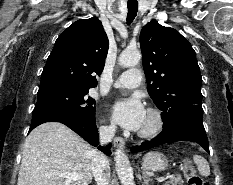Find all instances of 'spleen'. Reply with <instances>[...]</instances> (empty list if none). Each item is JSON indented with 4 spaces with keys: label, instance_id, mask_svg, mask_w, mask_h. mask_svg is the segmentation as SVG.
<instances>
[{
    "label": "spleen",
    "instance_id": "1",
    "mask_svg": "<svg viewBox=\"0 0 233 185\" xmlns=\"http://www.w3.org/2000/svg\"><path fill=\"white\" fill-rule=\"evenodd\" d=\"M193 160L196 163L197 169L202 176L207 177L210 175V166L204 157L195 154L193 156Z\"/></svg>",
    "mask_w": 233,
    "mask_h": 185
}]
</instances>
